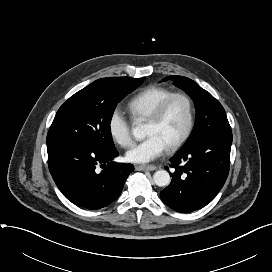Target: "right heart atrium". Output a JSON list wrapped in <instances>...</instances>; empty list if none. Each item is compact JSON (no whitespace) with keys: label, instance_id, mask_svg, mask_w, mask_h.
<instances>
[{"label":"right heart atrium","instance_id":"right-heart-atrium-1","mask_svg":"<svg viewBox=\"0 0 272 272\" xmlns=\"http://www.w3.org/2000/svg\"><path fill=\"white\" fill-rule=\"evenodd\" d=\"M108 132L120 146L131 144V120L119 108H115L108 118Z\"/></svg>","mask_w":272,"mask_h":272}]
</instances>
